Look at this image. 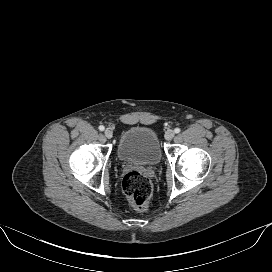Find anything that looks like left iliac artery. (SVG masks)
<instances>
[{"instance_id": "1", "label": "left iliac artery", "mask_w": 272, "mask_h": 272, "mask_svg": "<svg viewBox=\"0 0 272 272\" xmlns=\"http://www.w3.org/2000/svg\"><path fill=\"white\" fill-rule=\"evenodd\" d=\"M180 131H181L180 128H175V129H174V132H175V133H180Z\"/></svg>"}]
</instances>
